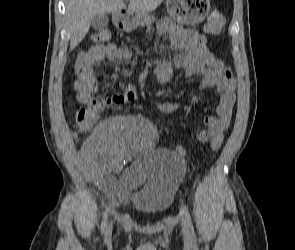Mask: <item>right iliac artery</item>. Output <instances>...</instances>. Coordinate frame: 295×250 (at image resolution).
<instances>
[{"label": "right iliac artery", "mask_w": 295, "mask_h": 250, "mask_svg": "<svg viewBox=\"0 0 295 250\" xmlns=\"http://www.w3.org/2000/svg\"><path fill=\"white\" fill-rule=\"evenodd\" d=\"M107 222H108V209L105 210L103 214V219H102V224H101V231L104 233L106 227H107Z\"/></svg>", "instance_id": "1"}]
</instances>
